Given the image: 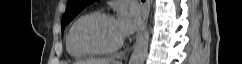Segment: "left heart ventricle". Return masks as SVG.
<instances>
[{
    "label": "left heart ventricle",
    "mask_w": 242,
    "mask_h": 64,
    "mask_svg": "<svg viewBox=\"0 0 242 64\" xmlns=\"http://www.w3.org/2000/svg\"><path fill=\"white\" fill-rule=\"evenodd\" d=\"M80 38L91 46L101 48L111 47L121 40L115 29L114 19H99L87 23L80 30Z\"/></svg>",
    "instance_id": "left-heart-ventricle-1"
}]
</instances>
